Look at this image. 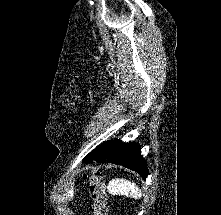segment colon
Listing matches in <instances>:
<instances>
[{
	"label": "colon",
	"mask_w": 221,
	"mask_h": 215,
	"mask_svg": "<svg viewBox=\"0 0 221 215\" xmlns=\"http://www.w3.org/2000/svg\"><path fill=\"white\" fill-rule=\"evenodd\" d=\"M84 179L88 181L89 191L92 198L90 211L93 215H107L108 204L105 188L100 180L99 175H84Z\"/></svg>",
	"instance_id": "5ec220e1"
}]
</instances>
